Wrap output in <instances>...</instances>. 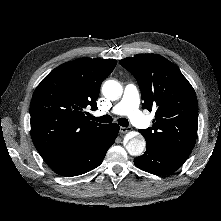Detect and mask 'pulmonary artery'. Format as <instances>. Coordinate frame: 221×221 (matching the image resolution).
Returning a JSON list of instances; mask_svg holds the SVG:
<instances>
[{
    "label": "pulmonary artery",
    "mask_w": 221,
    "mask_h": 221,
    "mask_svg": "<svg viewBox=\"0 0 221 221\" xmlns=\"http://www.w3.org/2000/svg\"><path fill=\"white\" fill-rule=\"evenodd\" d=\"M140 94L134 84H127L124 88L122 99L111 109L103 114L126 115L138 127L148 126V120L139 110Z\"/></svg>",
    "instance_id": "e3ab8cb5"
}]
</instances>
